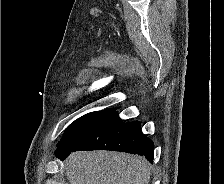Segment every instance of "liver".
Returning <instances> with one entry per match:
<instances>
[{
    "label": "liver",
    "mask_w": 224,
    "mask_h": 184,
    "mask_svg": "<svg viewBox=\"0 0 224 184\" xmlns=\"http://www.w3.org/2000/svg\"><path fill=\"white\" fill-rule=\"evenodd\" d=\"M70 184H148L151 167L142 157L111 151H78L65 161Z\"/></svg>",
    "instance_id": "1"
}]
</instances>
